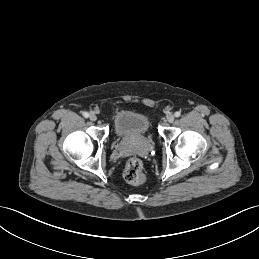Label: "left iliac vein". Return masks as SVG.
Instances as JSON below:
<instances>
[{"label":"left iliac vein","instance_id":"4c4485c4","mask_svg":"<svg viewBox=\"0 0 259 259\" xmlns=\"http://www.w3.org/2000/svg\"><path fill=\"white\" fill-rule=\"evenodd\" d=\"M174 119H175V117H174V115H172V114L168 115V117H167V121H168L169 123H172V122L174 121Z\"/></svg>","mask_w":259,"mask_h":259}]
</instances>
